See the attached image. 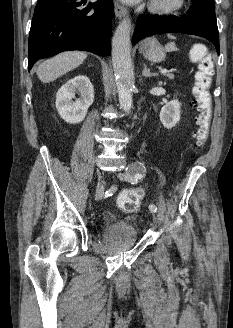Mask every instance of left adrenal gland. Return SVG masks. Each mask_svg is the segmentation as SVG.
Instances as JSON below:
<instances>
[{
	"instance_id": "a2214340",
	"label": "left adrenal gland",
	"mask_w": 233,
	"mask_h": 328,
	"mask_svg": "<svg viewBox=\"0 0 233 328\" xmlns=\"http://www.w3.org/2000/svg\"><path fill=\"white\" fill-rule=\"evenodd\" d=\"M158 74L157 73H152L151 71H150V69H148L147 68V66H146V64L144 63L143 64V71H142V76L143 77H155V76H157Z\"/></svg>"
}]
</instances>
